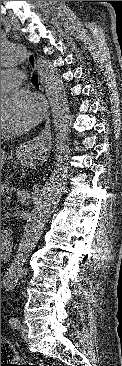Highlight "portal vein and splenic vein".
<instances>
[{
	"mask_svg": "<svg viewBox=\"0 0 122 366\" xmlns=\"http://www.w3.org/2000/svg\"><path fill=\"white\" fill-rule=\"evenodd\" d=\"M11 199V197L10 196H6V201H9Z\"/></svg>",
	"mask_w": 122,
	"mask_h": 366,
	"instance_id": "1",
	"label": "portal vein and splenic vein"
}]
</instances>
